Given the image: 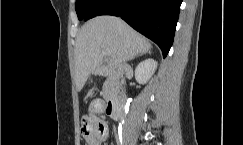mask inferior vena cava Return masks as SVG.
<instances>
[{"label":"inferior vena cava","instance_id":"inferior-vena-cava-1","mask_svg":"<svg viewBox=\"0 0 243 145\" xmlns=\"http://www.w3.org/2000/svg\"><path fill=\"white\" fill-rule=\"evenodd\" d=\"M123 68L127 71L130 67L127 64H124ZM122 83H124V79L122 80Z\"/></svg>","mask_w":243,"mask_h":145}]
</instances>
